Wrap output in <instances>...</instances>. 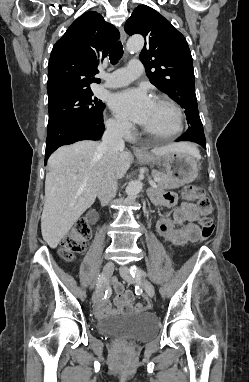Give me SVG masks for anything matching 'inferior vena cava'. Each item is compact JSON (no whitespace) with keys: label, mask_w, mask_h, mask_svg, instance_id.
<instances>
[{"label":"inferior vena cava","mask_w":249,"mask_h":382,"mask_svg":"<svg viewBox=\"0 0 249 382\" xmlns=\"http://www.w3.org/2000/svg\"><path fill=\"white\" fill-rule=\"evenodd\" d=\"M123 130L124 123L109 124L100 144V149L104 151L107 158V166L98 188V199L102 204L109 203L117 192L118 178L114 167V160L118 153L125 148Z\"/></svg>","instance_id":"obj_1"}]
</instances>
